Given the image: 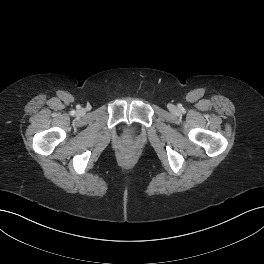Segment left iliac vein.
Instances as JSON below:
<instances>
[{"label": "left iliac vein", "mask_w": 264, "mask_h": 264, "mask_svg": "<svg viewBox=\"0 0 264 264\" xmlns=\"http://www.w3.org/2000/svg\"><path fill=\"white\" fill-rule=\"evenodd\" d=\"M171 109H172V110H175V107H174V106H172V107H171Z\"/></svg>", "instance_id": "1"}]
</instances>
